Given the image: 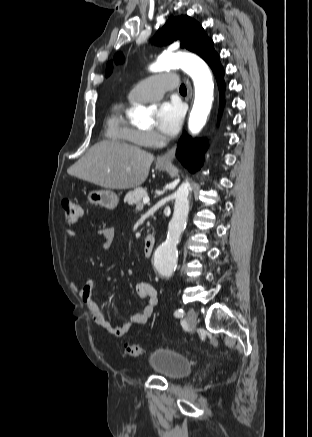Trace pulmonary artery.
Masks as SVG:
<instances>
[{"label": "pulmonary artery", "instance_id": "obj_1", "mask_svg": "<svg viewBox=\"0 0 312 437\" xmlns=\"http://www.w3.org/2000/svg\"><path fill=\"white\" fill-rule=\"evenodd\" d=\"M179 85V78L175 74H159L137 83L128 93L130 101L152 102L160 99L165 91L172 90Z\"/></svg>", "mask_w": 312, "mask_h": 437}]
</instances>
